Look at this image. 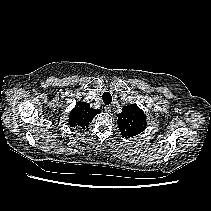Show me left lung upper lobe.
Masks as SVG:
<instances>
[{
    "mask_svg": "<svg viewBox=\"0 0 211 211\" xmlns=\"http://www.w3.org/2000/svg\"><path fill=\"white\" fill-rule=\"evenodd\" d=\"M117 117L119 130L123 137L136 136L146 128V116L136 104L124 106L122 112L117 114Z\"/></svg>",
    "mask_w": 211,
    "mask_h": 211,
    "instance_id": "obj_1",
    "label": "left lung upper lobe"
}]
</instances>
